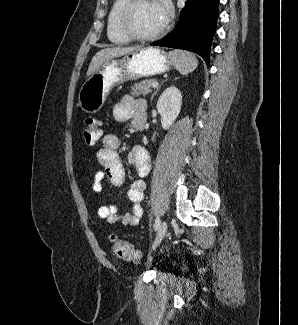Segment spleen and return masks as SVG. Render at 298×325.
Instances as JSON below:
<instances>
[{"instance_id": "spleen-1", "label": "spleen", "mask_w": 298, "mask_h": 325, "mask_svg": "<svg viewBox=\"0 0 298 325\" xmlns=\"http://www.w3.org/2000/svg\"><path fill=\"white\" fill-rule=\"evenodd\" d=\"M169 56H171L176 70H179L181 74H188V72L197 68L198 60L192 52L169 50Z\"/></svg>"}]
</instances>
